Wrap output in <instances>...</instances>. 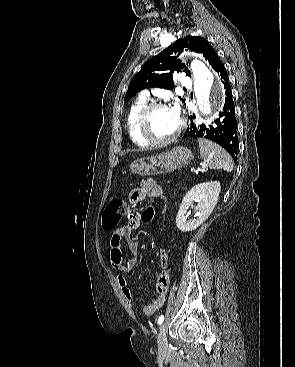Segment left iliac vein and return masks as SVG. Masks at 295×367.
<instances>
[{"label": "left iliac vein", "mask_w": 295, "mask_h": 367, "mask_svg": "<svg viewBox=\"0 0 295 367\" xmlns=\"http://www.w3.org/2000/svg\"><path fill=\"white\" fill-rule=\"evenodd\" d=\"M158 349L161 354L168 352V340L166 336V325L162 324L158 334Z\"/></svg>", "instance_id": "left-iliac-vein-1"}]
</instances>
